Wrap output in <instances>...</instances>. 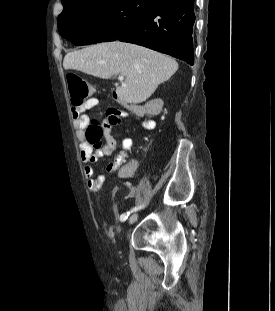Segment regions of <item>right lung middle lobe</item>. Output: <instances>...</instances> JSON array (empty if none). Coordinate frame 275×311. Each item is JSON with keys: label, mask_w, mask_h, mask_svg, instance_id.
<instances>
[{"label": "right lung middle lobe", "mask_w": 275, "mask_h": 311, "mask_svg": "<svg viewBox=\"0 0 275 311\" xmlns=\"http://www.w3.org/2000/svg\"><path fill=\"white\" fill-rule=\"evenodd\" d=\"M160 0H75L58 17L63 38L74 45L113 41Z\"/></svg>", "instance_id": "right-lung-middle-lobe-1"}]
</instances>
